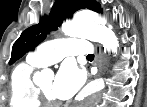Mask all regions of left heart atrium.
Masks as SVG:
<instances>
[{"label":"left heart atrium","mask_w":147,"mask_h":107,"mask_svg":"<svg viewBox=\"0 0 147 107\" xmlns=\"http://www.w3.org/2000/svg\"><path fill=\"white\" fill-rule=\"evenodd\" d=\"M84 72L77 66L65 64L59 70L53 84V95L60 100L70 99L83 85Z\"/></svg>","instance_id":"left-heart-atrium-1"}]
</instances>
